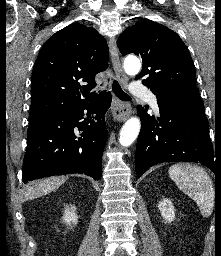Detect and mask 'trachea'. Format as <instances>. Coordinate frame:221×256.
<instances>
[{"label": "trachea", "instance_id": "3493384b", "mask_svg": "<svg viewBox=\"0 0 221 256\" xmlns=\"http://www.w3.org/2000/svg\"><path fill=\"white\" fill-rule=\"evenodd\" d=\"M112 90L116 94V96L122 101H129L131 100L130 96L127 95L122 89L119 83L116 80H113L112 83Z\"/></svg>", "mask_w": 221, "mask_h": 256}]
</instances>
